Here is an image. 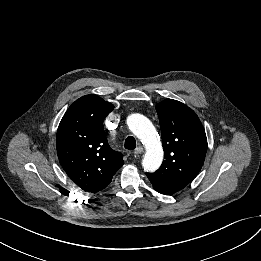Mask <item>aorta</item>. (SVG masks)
Instances as JSON below:
<instances>
[{
  "label": "aorta",
  "instance_id": "obj_1",
  "mask_svg": "<svg viewBox=\"0 0 261 261\" xmlns=\"http://www.w3.org/2000/svg\"><path fill=\"white\" fill-rule=\"evenodd\" d=\"M127 125L145 145L146 153L142 161L144 169L156 171L163 161V148L155 127L147 117L137 113L128 117Z\"/></svg>",
  "mask_w": 261,
  "mask_h": 261
}]
</instances>
